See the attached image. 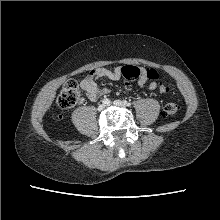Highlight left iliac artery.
<instances>
[{
  "mask_svg": "<svg viewBox=\"0 0 220 220\" xmlns=\"http://www.w3.org/2000/svg\"><path fill=\"white\" fill-rule=\"evenodd\" d=\"M124 103H125L126 106H131L130 102L125 101Z\"/></svg>",
  "mask_w": 220,
  "mask_h": 220,
  "instance_id": "obj_1",
  "label": "left iliac artery"
}]
</instances>
